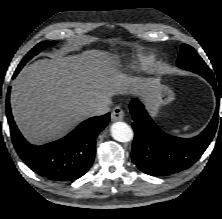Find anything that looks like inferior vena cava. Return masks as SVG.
Wrapping results in <instances>:
<instances>
[{"label":"inferior vena cava","mask_w":222,"mask_h":219,"mask_svg":"<svg viewBox=\"0 0 222 219\" xmlns=\"http://www.w3.org/2000/svg\"><path fill=\"white\" fill-rule=\"evenodd\" d=\"M110 106L111 100H107L106 102L94 105L89 109V113L91 116L104 115L110 111Z\"/></svg>","instance_id":"1"}]
</instances>
